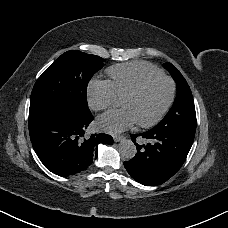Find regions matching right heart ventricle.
<instances>
[{
    "instance_id": "right-heart-ventricle-1",
    "label": "right heart ventricle",
    "mask_w": 228,
    "mask_h": 228,
    "mask_svg": "<svg viewBox=\"0 0 228 228\" xmlns=\"http://www.w3.org/2000/svg\"><path fill=\"white\" fill-rule=\"evenodd\" d=\"M109 74L116 94L119 97H126L146 79L162 75L163 72L151 65L128 63L112 67Z\"/></svg>"
}]
</instances>
